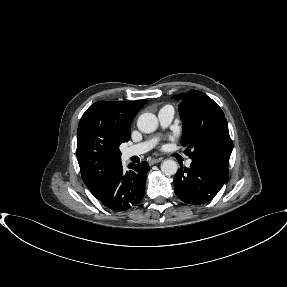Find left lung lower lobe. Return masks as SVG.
Segmentation results:
<instances>
[{"mask_svg":"<svg viewBox=\"0 0 287 287\" xmlns=\"http://www.w3.org/2000/svg\"><path fill=\"white\" fill-rule=\"evenodd\" d=\"M229 161L216 157L193 158L189 168L181 166L174 178V191L185 203L210 201L228 180Z\"/></svg>","mask_w":287,"mask_h":287,"instance_id":"obj_1","label":"left lung lower lobe"}]
</instances>
